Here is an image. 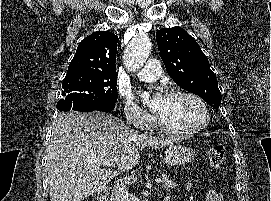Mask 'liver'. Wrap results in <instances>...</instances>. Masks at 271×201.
I'll return each mask as SVG.
<instances>
[{
  "label": "liver",
  "mask_w": 271,
  "mask_h": 201,
  "mask_svg": "<svg viewBox=\"0 0 271 201\" xmlns=\"http://www.w3.org/2000/svg\"><path fill=\"white\" fill-rule=\"evenodd\" d=\"M176 141L139 134L107 113L59 114L46 149L50 201H82L105 189L119 172L135 167L139 150ZM95 158L111 160L116 170L101 168Z\"/></svg>",
  "instance_id": "1"
}]
</instances>
